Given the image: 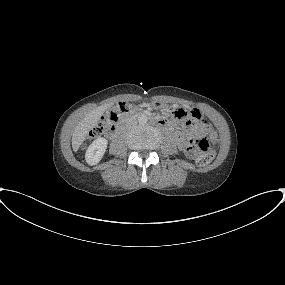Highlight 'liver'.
Here are the masks:
<instances>
[{"label": "liver", "mask_w": 285, "mask_h": 285, "mask_svg": "<svg viewBox=\"0 0 285 285\" xmlns=\"http://www.w3.org/2000/svg\"><path fill=\"white\" fill-rule=\"evenodd\" d=\"M112 106V104H105L96 107L91 112H89L81 122L76 126L72 135V148L73 151L77 152L80 145L86 139L89 131L93 129L99 122L100 117L103 113Z\"/></svg>", "instance_id": "6515ba94"}]
</instances>
